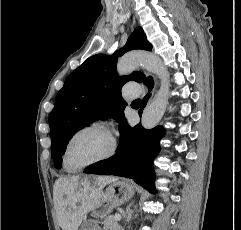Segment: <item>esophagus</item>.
<instances>
[{
	"label": "esophagus",
	"instance_id": "esophagus-1",
	"mask_svg": "<svg viewBox=\"0 0 241 230\" xmlns=\"http://www.w3.org/2000/svg\"><path fill=\"white\" fill-rule=\"evenodd\" d=\"M144 74H145L146 77H149V76H150V73L147 72V71H144ZM151 93L153 94V91H152Z\"/></svg>",
	"mask_w": 241,
	"mask_h": 230
}]
</instances>
